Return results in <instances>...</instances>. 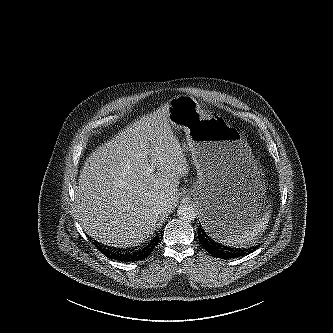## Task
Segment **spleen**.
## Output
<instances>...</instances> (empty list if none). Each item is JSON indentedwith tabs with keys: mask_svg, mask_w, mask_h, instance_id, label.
<instances>
[{
	"mask_svg": "<svg viewBox=\"0 0 333 333\" xmlns=\"http://www.w3.org/2000/svg\"><path fill=\"white\" fill-rule=\"evenodd\" d=\"M269 217V213H265L250 225L232 231L219 240L227 246L247 247L267 228Z\"/></svg>",
	"mask_w": 333,
	"mask_h": 333,
	"instance_id": "1",
	"label": "spleen"
}]
</instances>
